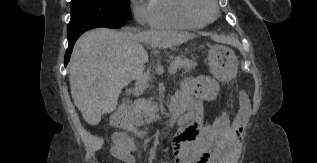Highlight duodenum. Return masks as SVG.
Segmentation results:
<instances>
[{
	"instance_id": "obj_1",
	"label": "duodenum",
	"mask_w": 317,
	"mask_h": 163,
	"mask_svg": "<svg viewBox=\"0 0 317 163\" xmlns=\"http://www.w3.org/2000/svg\"><path fill=\"white\" fill-rule=\"evenodd\" d=\"M176 115L174 113L170 114V117L167 122V127L166 130L163 132V134H167L168 130L173 124V121L175 120ZM111 124L113 127L122 129V130H127L131 132H137L138 130L134 127V125L131 123V121L128 118V110H127V105L122 104L111 116ZM119 137L117 139V144L120 141ZM116 144V145H117Z\"/></svg>"
}]
</instances>
